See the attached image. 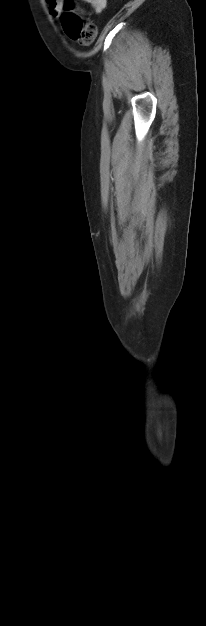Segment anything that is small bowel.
Listing matches in <instances>:
<instances>
[{
    "label": "small bowel",
    "instance_id": "small-bowel-1",
    "mask_svg": "<svg viewBox=\"0 0 206 626\" xmlns=\"http://www.w3.org/2000/svg\"><path fill=\"white\" fill-rule=\"evenodd\" d=\"M89 3L95 13H101L107 4V0H84ZM65 0H47V4L50 9V13L53 17L58 18L61 15V11ZM74 10L79 14H84L83 10H81L78 6L74 5Z\"/></svg>",
    "mask_w": 206,
    "mask_h": 626
}]
</instances>
